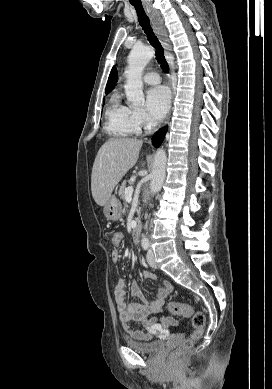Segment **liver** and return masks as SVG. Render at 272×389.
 <instances>
[{
	"label": "liver",
	"instance_id": "obj_1",
	"mask_svg": "<svg viewBox=\"0 0 272 389\" xmlns=\"http://www.w3.org/2000/svg\"><path fill=\"white\" fill-rule=\"evenodd\" d=\"M142 144L134 138H111L101 146L91 175L92 196L99 206H105L115 186L136 164Z\"/></svg>",
	"mask_w": 272,
	"mask_h": 389
}]
</instances>
